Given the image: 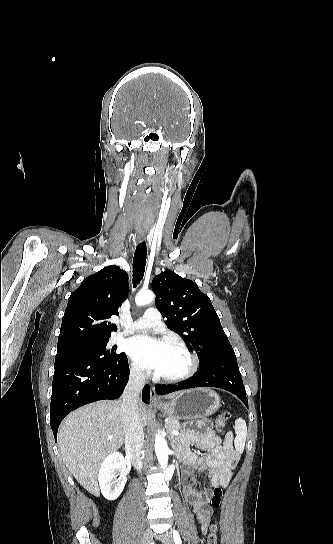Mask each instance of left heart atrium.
Instances as JSON below:
<instances>
[{
	"label": "left heart atrium",
	"mask_w": 333,
	"mask_h": 544,
	"mask_svg": "<svg viewBox=\"0 0 333 544\" xmlns=\"http://www.w3.org/2000/svg\"><path fill=\"white\" fill-rule=\"evenodd\" d=\"M169 344L163 339L140 334L126 343V351L144 368L158 372L164 363Z\"/></svg>",
	"instance_id": "left-heart-atrium-1"
}]
</instances>
